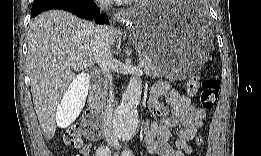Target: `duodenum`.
Here are the masks:
<instances>
[{"label":"duodenum","mask_w":261,"mask_h":156,"mask_svg":"<svg viewBox=\"0 0 261 156\" xmlns=\"http://www.w3.org/2000/svg\"><path fill=\"white\" fill-rule=\"evenodd\" d=\"M93 81L95 82V84L97 86V83L99 81V75L97 73H95L93 75ZM91 107H92V109L86 117V122L91 121L92 118L90 116L92 114H96V113L103 111V102L98 98L97 94H94L91 98ZM104 126H106V124H104Z\"/></svg>","instance_id":"410a0bca"}]
</instances>
